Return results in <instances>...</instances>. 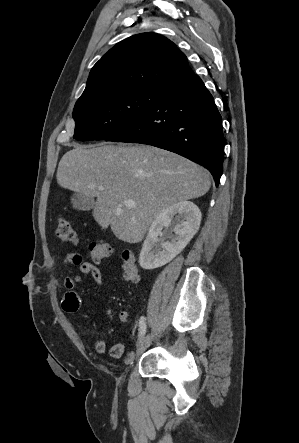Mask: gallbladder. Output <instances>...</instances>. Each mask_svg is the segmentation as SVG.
Listing matches in <instances>:
<instances>
[{
  "label": "gallbladder",
  "instance_id": "bac80fb5",
  "mask_svg": "<svg viewBox=\"0 0 299 443\" xmlns=\"http://www.w3.org/2000/svg\"><path fill=\"white\" fill-rule=\"evenodd\" d=\"M71 204L77 210L90 211L94 208L95 202L92 197L76 192L71 197Z\"/></svg>",
  "mask_w": 299,
  "mask_h": 443
}]
</instances>
